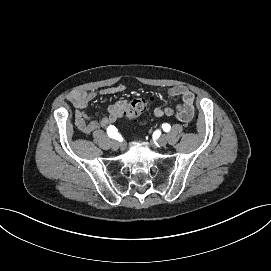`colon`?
I'll return each mask as SVG.
<instances>
[{
	"instance_id": "obj_1",
	"label": "colon",
	"mask_w": 271,
	"mask_h": 271,
	"mask_svg": "<svg viewBox=\"0 0 271 271\" xmlns=\"http://www.w3.org/2000/svg\"><path fill=\"white\" fill-rule=\"evenodd\" d=\"M149 100L147 98H136L130 101L124 111V115L128 119H135L148 108Z\"/></svg>"
}]
</instances>
